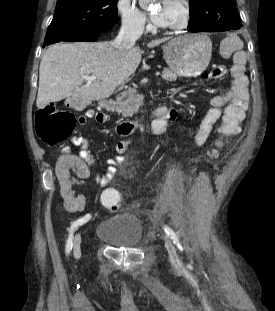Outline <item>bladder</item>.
Segmentation results:
<instances>
[{"label": "bladder", "mask_w": 275, "mask_h": 311, "mask_svg": "<svg viewBox=\"0 0 275 311\" xmlns=\"http://www.w3.org/2000/svg\"><path fill=\"white\" fill-rule=\"evenodd\" d=\"M96 236L115 248H135L142 244L144 228L137 213L119 212L100 221Z\"/></svg>", "instance_id": "obj_1"}]
</instances>
